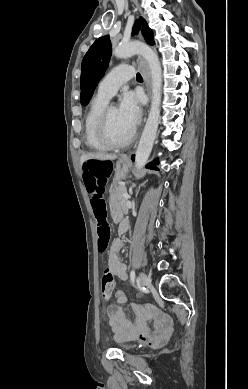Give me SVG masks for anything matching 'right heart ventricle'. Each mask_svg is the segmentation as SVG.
I'll return each mask as SVG.
<instances>
[{
  "label": "right heart ventricle",
  "instance_id": "1",
  "mask_svg": "<svg viewBox=\"0 0 248 389\" xmlns=\"http://www.w3.org/2000/svg\"><path fill=\"white\" fill-rule=\"evenodd\" d=\"M106 97L97 94L90 102L84 122V136L86 145L94 150L105 151L109 147L98 137V126L101 114L108 104Z\"/></svg>",
  "mask_w": 248,
  "mask_h": 389
}]
</instances>
